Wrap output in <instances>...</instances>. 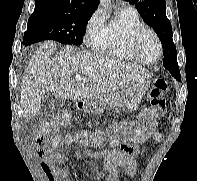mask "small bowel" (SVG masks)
Wrapping results in <instances>:
<instances>
[{"mask_svg":"<svg viewBox=\"0 0 197 181\" xmlns=\"http://www.w3.org/2000/svg\"><path fill=\"white\" fill-rule=\"evenodd\" d=\"M123 124L120 125V132L123 135L124 141L129 144L128 150L113 149L106 152L105 148H86L77 152L80 158L97 159L105 156L103 169H100L96 164L91 165V170L101 181H119V169L121 168L131 175L136 171L137 165L135 159L139 155L140 149L136 144L130 142L135 140L130 138V133L122 129ZM153 139L158 141L160 139V133L155 131L153 133ZM34 142L37 146V157L41 160L42 168L49 180L68 181L69 169L63 158L60 145L53 146L49 144L47 147H41V141L36 138H34ZM52 162H55L57 166L52 165Z\"/></svg>","mask_w":197,"mask_h":181,"instance_id":"small-bowel-1","label":"small bowel"}]
</instances>
